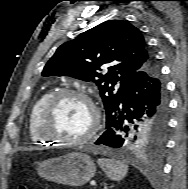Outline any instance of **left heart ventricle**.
I'll return each instance as SVG.
<instances>
[{
  "instance_id": "b2bd125f",
  "label": "left heart ventricle",
  "mask_w": 188,
  "mask_h": 189,
  "mask_svg": "<svg viewBox=\"0 0 188 189\" xmlns=\"http://www.w3.org/2000/svg\"><path fill=\"white\" fill-rule=\"evenodd\" d=\"M93 115L88 104L78 98H65L56 106L49 128L54 135L66 139L82 137L88 132Z\"/></svg>"
}]
</instances>
